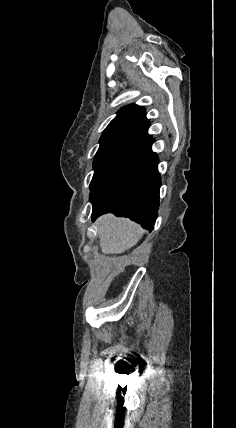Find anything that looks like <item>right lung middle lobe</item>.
Wrapping results in <instances>:
<instances>
[{
  "mask_svg": "<svg viewBox=\"0 0 236 428\" xmlns=\"http://www.w3.org/2000/svg\"><path fill=\"white\" fill-rule=\"evenodd\" d=\"M146 145L130 144L97 152L94 158V175L90 183V201L95 203L109 191L133 166Z\"/></svg>",
  "mask_w": 236,
  "mask_h": 428,
  "instance_id": "right-lung-middle-lobe-1",
  "label": "right lung middle lobe"
}]
</instances>
